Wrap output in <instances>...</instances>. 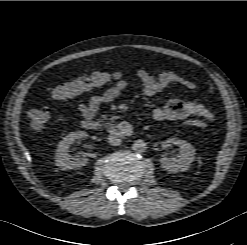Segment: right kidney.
Returning <instances> with one entry per match:
<instances>
[{
	"instance_id": "obj_1",
	"label": "right kidney",
	"mask_w": 247,
	"mask_h": 245,
	"mask_svg": "<svg viewBox=\"0 0 247 245\" xmlns=\"http://www.w3.org/2000/svg\"><path fill=\"white\" fill-rule=\"evenodd\" d=\"M87 137L85 131L71 132L65 136L58 144L55 156V164L62 170L73 169L84 166L88 162V158L84 156L83 158H72L69 152V146L76 139H84Z\"/></svg>"
}]
</instances>
